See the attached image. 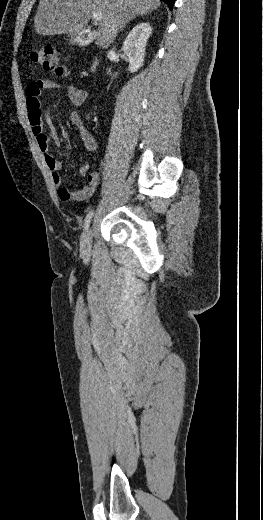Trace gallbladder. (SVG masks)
Here are the masks:
<instances>
[{
	"label": "gallbladder",
	"mask_w": 263,
	"mask_h": 520,
	"mask_svg": "<svg viewBox=\"0 0 263 520\" xmlns=\"http://www.w3.org/2000/svg\"><path fill=\"white\" fill-rule=\"evenodd\" d=\"M68 40L71 44H76L78 43V34H70L68 35Z\"/></svg>",
	"instance_id": "gallbladder-1"
}]
</instances>
